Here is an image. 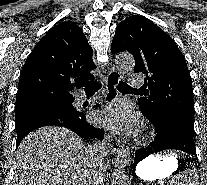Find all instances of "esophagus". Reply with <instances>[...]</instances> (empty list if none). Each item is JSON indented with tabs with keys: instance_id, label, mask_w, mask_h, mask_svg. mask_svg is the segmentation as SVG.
<instances>
[{
	"instance_id": "34e87169",
	"label": "esophagus",
	"mask_w": 207,
	"mask_h": 185,
	"mask_svg": "<svg viewBox=\"0 0 207 185\" xmlns=\"http://www.w3.org/2000/svg\"><path fill=\"white\" fill-rule=\"evenodd\" d=\"M108 66H111L106 77V95H105V104H111L118 97L117 86L121 79L120 67L112 66V63H108ZM108 143L112 152L116 155H120L122 152L121 140L113 134H108L107 136Z\"/></svg>"
}]
</instances>
